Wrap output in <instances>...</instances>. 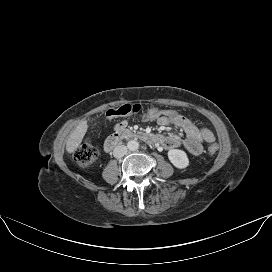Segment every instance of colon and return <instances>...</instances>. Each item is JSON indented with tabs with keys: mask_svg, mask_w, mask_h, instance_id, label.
Segmentation results:
<instances>
[{
	"mask_svg": "<svg viewBox=\"0 0 272 272\" xmlns=\"http://www.w3.org/2000/svg\"><path fill=\"white\" fill-rule=\"evenodd\" d=\"M106 118L112 119L125 116H141L147 121H157L160 118H174L181 114L172 109L151 108L143 110L139 104H124L119 107L111 108L105 113ZM218 151L216 144L208 147L209 154H215ZM98 158V149L90 142L85 141L74 152V160L81 167H89Z\"/></svg>",
	"mask_w": 272,
	"mask_h": 272,
	"instance_id": "obj_1",
	"label": "colon"
}]
</instances>
